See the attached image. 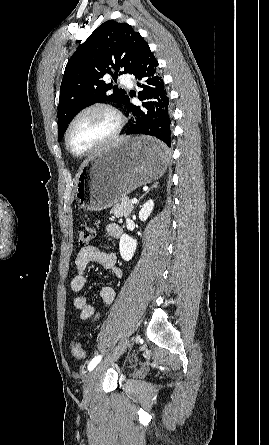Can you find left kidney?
I'll list each match as a JSON object with an SVG mask.
<instances>
[{"instance_id": "5707ae66", "label": "left kidney", "mask_w": 269, "mask_h": 445, "mask_svg": "<svg viewBox=\"0 0 269 445\" xmlns=\"http://www.w3.org/2000/svg\"><path fill=\"white\" fill-rule=\"evenodd\" d=\"M154 202L153 200H148L141 210L139 211V219L141 221H146L153 211ZM137 247V240L131 238L130 236L124 234L120 238L119 250L120 255L125 261L132 259Z\"/></svg>"}]
</instances>
